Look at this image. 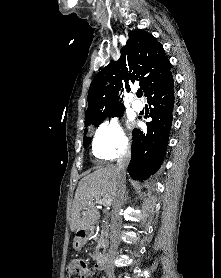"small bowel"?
Segmentation results:
<instances>
[{"label":"small bowel","instance_id":"c3829d8e","mask_svg":"<svg viewBox=\"0 0 221 278\" xmlns=\"http://www.w3.org/2000/svg\"><path fill=\"white\" fill-rule=\"evenodd\" d=\"M96 272H97V269L95 267H92L89 269L88 276L92 277L96 274Z\"/></svg>","mask_w":221,"mask_h":278}]
</instances>
